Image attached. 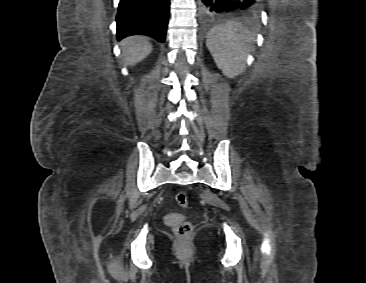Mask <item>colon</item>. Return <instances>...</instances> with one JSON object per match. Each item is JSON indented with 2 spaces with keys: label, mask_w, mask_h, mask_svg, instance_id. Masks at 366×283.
I'll use <instances>...</instances> for the list:
<instances>
[{
  "label": "colon",
  "mask_w": 366,
  "mask_h": 283,
  "mask_svg": "<svg viewBox=\"0 0 366 283\" xmlns=\"http://www.w3.org/2000/svg\"><path fill=\"white\" fill-rule=\"evenodd\" d=\"M176 202L182 208L188 207L189 197H188L187 193H185L183 191L179 192L176 195ZM191 230H192V226L188 222L179 223L174 227V231L180 239L186 238L190 234Z\"/></svg>",
  "instance_id": "1"
}]
</instances>
